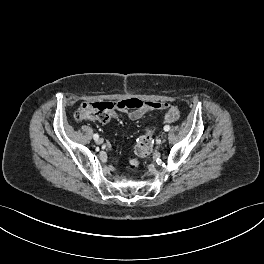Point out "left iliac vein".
<instances>
[{"label": "left iliac vein", "instance_id": "4c4485c4", "mask_svg": "<svg viewBox=\"0 0 264 264\" xmlns=\"http://www.w3.org/2000/svg\"><path fill=\"white\" fill-rule=\"evenodd\" d=\"M167 139H168V138L165 136V137L161 140V143H162V144H167Z\"/></svg>", "mask_w": 264, "mask_h": 264}]
</instances>
